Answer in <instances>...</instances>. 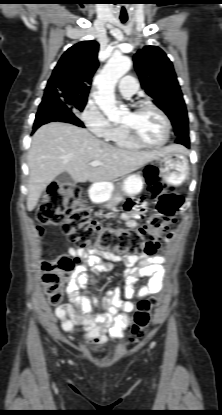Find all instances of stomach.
<instances>
[{
    "label": "stomach",
    "mask_w": 222,
    "mask_h": 415,
    "mask_svg": "<svg viewBox=\"0 0 222 415\" xmlns=\"http://www.w3.org/2000/svg\"><path fill=\"white\" fill-rule=\"evenodd\" d=\"M159 172L163 179L174 186L181 185L188 177L189 164L184 152H170L157 159ZM143 178L139 174L127 176L121 188L128 196L139 194L143 189ZM108 187L107 183L94 184L90 189V194L96 196L99 192Z\"/></svg>",
    "instance_id": "1"
}]
</instances>
